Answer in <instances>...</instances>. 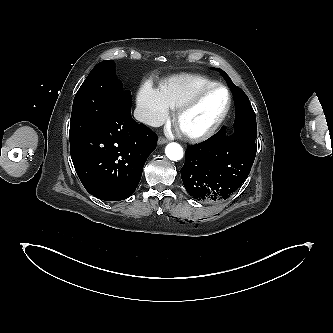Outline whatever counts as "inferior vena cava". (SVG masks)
Wrapping results in <instances>:
<instances>
[{
    "mask_svg": "<svg viewBox=\"0 0 333 333\" xmlns=\"http://www.w3.org/2000/svg\"><path fill=\"white\" fill-rule=\"evenodd\" d=\"M134 117L138 121L153 127H159L163 124V121L156 118L151 112L140 107L134 110Z\"/></svg>",
    "mask_w": 333,
    "mask_h": 333,
    "instance_id": "obj_1",
    "label": "inferior vena cava"
}]
</instances>
